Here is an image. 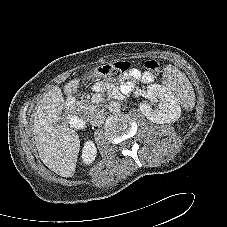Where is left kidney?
I'll use <instances>...</instances> for the list:
<instances>
[{
  "label": "left kidney",
  "instance_id": "5707ae66",
  "mask_svg": "<svg viewBox=\"0 0 227 227\" xmlns=\"http://www.w3.org/2000/svg\"><path fill=\"white\" fill-rule=\"evenodd\" d=\"M147 94L152 100H159L158 107L153 109L149 103H140L139 109L144 116L157 124L177 121L181 116V108L171 93L162 85L151 84L147 86Z\"/></svg>",
  "mask_w": 227,
  "mask_h": 227
}]
</instances>
